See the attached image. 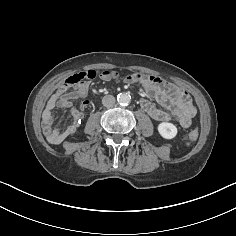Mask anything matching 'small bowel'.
Returning <instances> with one entry per match:
<instances>
[{
  "mask_svg": "<svg viewBox=\"0 0 236 236\" xmlns=\"http://www.w3.org/2000/svg\"><path fill=\"white\" fill-rule=\"evenodd\" d=\"M81 77V80H78ZM95 77V71L88 70L67 77L59 89L47 101L42 114V129L46 139L52 144H59L67 137L76 132L84 117L83 110L90 108L93 103L90 100H83L80 108L72 106V101L84 98L89 90V83L86 80ZM104 79L108 77L102 75ZM127 83H140L149 96L154 97L164 108L156 107L150 100L142 99V109L154 120L166 122L174 119L178 124L187 128L191 125L192 118L196 114V108L187 92L176 87L169 81L157 77L140 75L137 81ZM56 108L66 109L71 118V123L63 127H54L55 118L53 111Z\"/></svg>",
  "mask_w": 236,
  "mask_h": 236,
  "instance_id": "c3829d8e",
  "label": "small bowel"
}]
</instances>
